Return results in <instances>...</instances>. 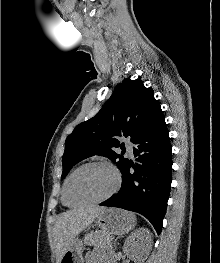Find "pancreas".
I'll return each instance as SVG.
<instances>
[{
  "mask_svg": "<svg viewBox=\"0 0 220 263\" xmlns=\"http://www.w3.org/2000/svg\"><path fill=\"white\" fill-rule=\"evenodd\" d=\"M84 242L101 248H105L106 245L105 235L102 231L91 232L85 237Z\"/></svg>",
  "mask_w": 220,
  "mask_h": 263,
  "instance_id": "cf45deb5",
  "label": "pancreas"
}]
</instances>
